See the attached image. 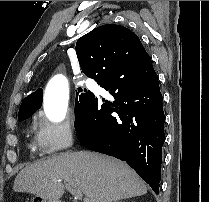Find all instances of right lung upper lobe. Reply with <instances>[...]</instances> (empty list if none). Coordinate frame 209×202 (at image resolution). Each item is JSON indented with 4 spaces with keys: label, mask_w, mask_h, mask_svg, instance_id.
Segmentation results:
<instances>
[{
    "label": "right lung upper lobe",
    "mask_w": 209,
    "mask_h": 202,
    "mask_svg": "<svg viewBox=\"0 0 209 202\" xmlns=\"http://www.w3.org/2000/svg\"><path fill=\"white\" fill-rule=\"evenodd\" d=\"M76 53L82 72L98 84L111 78L118 85L128 76L141 73V59L148 56L138 36L124 26H99L77 40ZM43 90L26 97L19 109L41 107Z\"/></svg>",
    "instance_id": "right-lung-upper-lobe-1"
}]
</instances>
